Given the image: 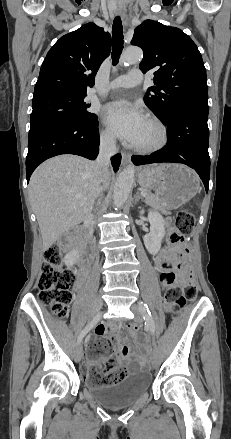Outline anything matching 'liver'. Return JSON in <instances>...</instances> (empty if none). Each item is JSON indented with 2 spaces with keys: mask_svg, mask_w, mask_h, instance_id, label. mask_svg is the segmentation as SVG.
I'll use <instances>...</instances> for the list:
<instances>
[{
  "mask_svg": "<svg viewBox=\"0 0 231 439\" xmlns=\"http://www.w3.org/2000/svg\"><path fill=\"white\" fill-rule=\"evenodd\" d=\"M101 187L95 163L76 155L53 157L34 171L28 189L43 251L90 216Z\"/></svg>",
  "mask_w": 231,
  "mask_h": 439,
  "instance_id": "6515ba94",
  "label": "liver"
}]
</instances>
